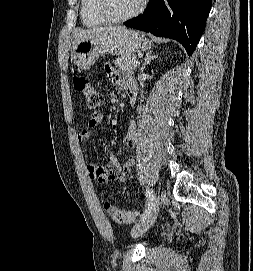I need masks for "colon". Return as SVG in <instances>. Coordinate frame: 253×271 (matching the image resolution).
Segmentation results:
<instances>
[{
    "mask_svg": "<svg viewBox=\"0 0 253 271\" xmlns=\"http://www.w3.org/2000/svg\"><path fill=\"white\" fill-rule=\"evenodd\" d=\"M73 87L75 93L90 109L96 110L102 104L101 93L84 76H74ZM104 208L112 220L118 224H130L135 220L136 214L133 211L120 209L110 201L105 202Z\"/></svg>",
    "mask_w": 253,
    "mask_h": 271,
    "instance_id": "5ec220e1",
    "label": "colon"
}]
</instances>
